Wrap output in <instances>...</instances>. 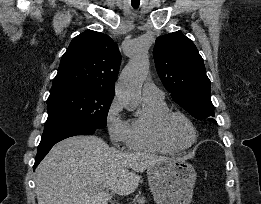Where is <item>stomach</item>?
I'll use <instances>...</instances> for the list:
<instances>
[{
  "label": "stomach",
  "mask_w": 261,
  "mask_h": 204,
  "mask_svg": "<svg viewBox=\"0 0 261 204\" xmlns=\"http://www.w3.org/2000/svg\"><path fill=\"white\" fill-rule=\"evenodd\" d=\"M151 193L157 204H190L196 182L194 167L182 158L161 161L147 169Z\"/></svg>",
  "instance_id": "1"
}]
</instances>
